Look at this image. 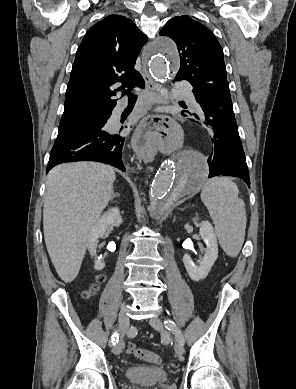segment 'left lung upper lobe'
<instances>
[{"instance_id": "left-lung-upper-lobe-1", "label": "left lung upper lobe", "mask_w": 296, "mask_h": 389, "mask_svg": "<svg viewBox=\"0 0 296 389\" xmlns=\"http://www.w3.org/2000/svg\"><path fill=\"white\" fill-rule=\"evenodd\" d=\"M160 35L172 38L180 54L176 80L192 84L228 83L223 49L215 35L203 24L188 16L170 19Z\"/></svg>"}]
</instances>
